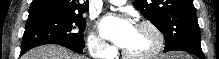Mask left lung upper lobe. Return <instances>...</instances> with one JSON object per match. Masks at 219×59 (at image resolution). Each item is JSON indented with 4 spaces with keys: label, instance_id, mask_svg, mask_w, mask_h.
Masks as SVG:
<instances>
[{
    "label": "left lung upper lobe",
    "instance_id": "obj_1",
    "mask_svg": "<svg viewBox=\"0 0 219 59\" xmlns=\"http://www.w3.org/2000/svg\"><path fill=\"white\" fill-rule=\"evenodd\" d=\"M165 36V49L185 39H200L193 0H135L133 3Z\"/></svg>",
    "mask_w": 219,
    "mask_h": 59
}]
</instances>
